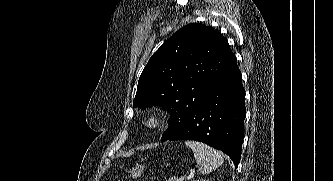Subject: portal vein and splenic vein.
Here are the masks:
<instances>
[{"label":"portal vein and splenic vein","instance_id":"18ae733b","mask_svg":"<svg viewBox=\"0 0 333 181\" xmlns=\"http://www.w3.org/2000/svg\"><path fill=\"white\" fill-rule=\"evenodd\" d=\"M184 180H186V176H181L180 181H184Z\"/></svg>","mask_w":333,"mask_h":181}]
</instances>
